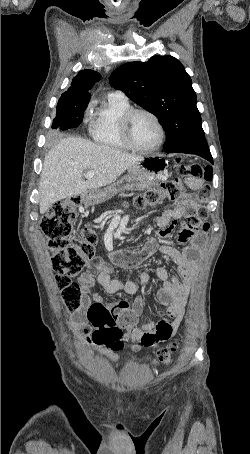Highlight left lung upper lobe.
Instances as JSON below:
<instances>
[{
    "mask_svg": "<svg viewBox=\"0 0 250 454\" xmlns=\"http://www.w3.org/2000/svg\"><path fill=\"white\" fill-rule=\"evenodd\" d=\"M110 84L159 119L166 132L165 152L204 138L191 78L176 58L126 63L111 74Z\"/></svg>",
    "mask_w": 250,
    "mask_h": 454,
    "instance_id": "left-lung-upper-lobe-1",
    "label": "left lung upper lobe"
}]
</instances>
